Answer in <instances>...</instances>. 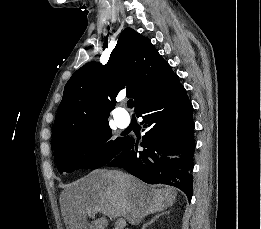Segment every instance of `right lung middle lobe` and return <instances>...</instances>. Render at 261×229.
I'll return each instance as SVG.
<instances>
[{"label": "right lung middle lobe", "instance_id": "dd1d6c3e", "mask_svg": "<svg viewBox=\"0 0 261 229\" xmlns=\"http://www.w3.org/2000/svg\"><path fill=\"white\" fill-rule=\"evenodd\" d=\"M65 131L66 139L54 152L61 173L100 168L116 157L128 140V137L110 140L112 132L108 122L69 127Z\"/></svg>", "mask_w": 261, "mask_h": 229}]
</instances>
